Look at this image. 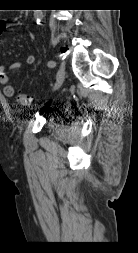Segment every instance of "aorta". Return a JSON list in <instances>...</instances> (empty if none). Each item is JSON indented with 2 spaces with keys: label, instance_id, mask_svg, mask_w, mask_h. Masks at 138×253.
<instances>
[{
  "label": "aorta",
  "instance_id": "aorta-1",
  "mask_svg": "<svg viewBox=\"0 0 138 253\" xmlns=\"http://www.w3.org/2000/svg\"><path fill=\"white\" fill-rule=\"evenodd\" d=\"M43 17L44 15L42 10H34V18L36 19L37 23H39Z\"/></svg>",
  "mask_w": 138,
  "mask_h": 253
}]
</instances>
